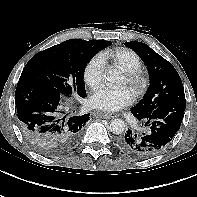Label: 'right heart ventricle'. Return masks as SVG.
Listing matches in <instances>:
<instances>
[{"label":"right heart ventricle","mask_w":197,"mask_h":197,"mask_svg":"<svg viewBox=\"0 0 197 197\" xmlns=\"http://www.w3.org/2000/svg\"><path fill=\"white\" fill-rule=\"evenodd\" d=\"M103 61L109 60L112 64L124 72H131L142 68L140 56L128 48H115L107 50L101 55Z\"/></svg>","instance_id":"right-heart-ventricle-1"}]
</instances>
